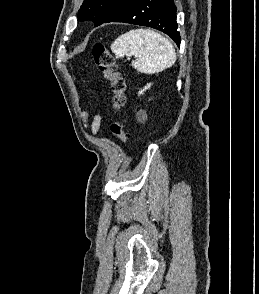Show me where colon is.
I'll return each mask as SVG.
<instances>
[{
    "mask_svg": "<svg viewBox=\"0 0 259 294\" xmlns=\"http://www.w3.org/2000/svg\"><path fill=\"white\" fill-rule=\"evenodd\" d=\"M95 65L110 83L112 89V107L118 114L117 119L111 125L112 133L118 140L127 144L129 134L126 130L125 122L120 115L125 103L126 84L121 73L118 71L115 60L109 49L101 42L95 43L92 49Z\"/></svg>",
    "mask_w": 259,
    "mask_h": 294,
    "instance_id": "obj_1",
    "label": "colon"
}]
</instances>
